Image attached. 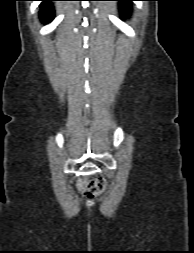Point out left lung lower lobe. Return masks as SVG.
<instances>
[{"instance_id": "0a47b994", "label": "left lung lower lobe", "mask_w": 194, "mask_h": 253, "mask_svg": "<svg viewBox=\"0 0 194 253\" xmlns=\"http://www.w3.org/2000/svg\"><path fill=\"white\" fill-rule=\"evenodd\" d=\"M113 1H118L120 3V10L122 13L123 17H127L130 14V2L136 1V0H113Z\"/></svg>"}]
</instances>
